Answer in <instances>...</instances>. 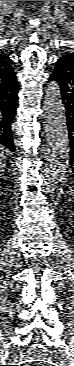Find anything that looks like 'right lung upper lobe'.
Segmentation results:
<instances>
[{
  "mask_svg": "<svg viewBox=\"0 0 74 366\" xmlns=\"http://www.w3.org/2000/svg\"><path fill=\"white\" fill-rule=\"evenodd\" d=\"M14 70L12 68V60L0 53V83H8L14 78Z\"/></svg>",
  "mask_w": 74,
  "mask_h": 366,
  "instance_id": "1",
  "label": "right lung upper lobe"
}]
</instances>
